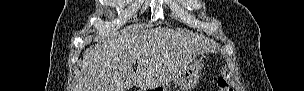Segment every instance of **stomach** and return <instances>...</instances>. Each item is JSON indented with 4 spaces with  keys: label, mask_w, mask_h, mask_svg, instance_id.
Instances as JSON below:
<instances>
[{
    "label": "stomach",
    "mask_w": 304,
    "mask_h": 91,
    "mask_svg": "<svg viewBox=\"0 0 304 91\" xmlns=\"http://www.w3.org/2000/svg\"><path fill=\"white\" fill-rule=\"evenodd\" d=\"M204 62L202 58L195 57L190 64L181 72V74L174 80L175 84L179 86L180 91H191L200 77V72L203 69ZM146 90H161L168 91L166 85H160L154 89H145Z\"/></svg>",
    "instance_id": "obj_1"
}]
</instances>
